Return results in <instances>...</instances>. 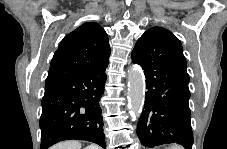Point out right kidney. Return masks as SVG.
I'll use <instances>...</instances> for the list:
<instances>
[{"label": "right kidney", "mask_w": 227, "mask_h": 149, "mask_svg": "<svg viewBox=\"0 0 227 149\" xmlns=\"http://www.w3.org/2000/svg\"><path fill=\"white\" fill-rule=\"evenodd\" d=\"M86 149H96V148H95V145H90V146L86 147Z\"/></svg>", "instance_id": "1"}]
</instances>
